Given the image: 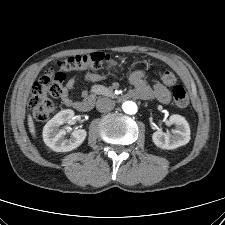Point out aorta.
I'll use <instances>...</instances> for the list:
<instances>
[{
    "mask_svg": "<svg viewBox=\"0 0 225 225\" xmlns=\"http://www.w3.org/2000/svg\"><path fill=\"white\" fill-rule=\"evenodd\" d=\"M122 109L125 113L129 114V115H133L137 113V105L135 102L133 101H126L122 104Z\"/></svg>",
    "mask_w": 225,
    "mask_h": 225,
    "instance_id": "aorta-1",
    "label": "aorta"
}]
</instances>
